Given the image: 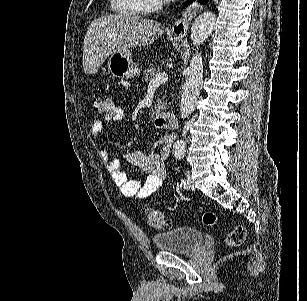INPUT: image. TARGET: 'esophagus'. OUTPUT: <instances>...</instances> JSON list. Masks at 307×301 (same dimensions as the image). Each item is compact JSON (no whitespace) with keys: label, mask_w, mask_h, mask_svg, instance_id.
<instances>
[{"label":"esophagus","mask_w":307,"mask_h":301,"mask_svg":"<svg viewBox=\"0 0 307 301\" xmlns=\"http://www.w3.org/2000/svg\"><path fill=\"white\" fill-rule=\"evenodd\" d=\"M197 13V5L193 3L183 15L172 25L171 35L175 40H183L189 26Z\"/></svg>","instance_id":"obj_1"}]
</instances>
